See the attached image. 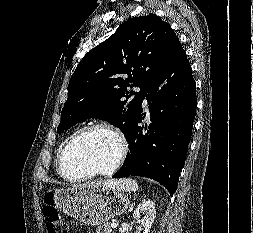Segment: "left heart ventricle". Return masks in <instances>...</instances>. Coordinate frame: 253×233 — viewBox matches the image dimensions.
Segmentation results:
<instances>
[{"instance_id": "obj_1", "label": "left heart ventricle", "mask_w": 253, "mask_h": 233, "mask_svg": "<svg viewBox=\"0 0 253 233\" xmlns=\"http://www.w3.org/2000/svg\"><path fill=\"white\" fill-rule=\"evenodd\" d=\"M118 155V142L109 132H88L69 147L64 159V172L68 176H81L90 171L107 169Z\"/></svg>"}]
</instances>
